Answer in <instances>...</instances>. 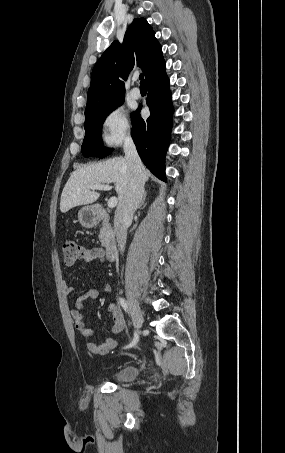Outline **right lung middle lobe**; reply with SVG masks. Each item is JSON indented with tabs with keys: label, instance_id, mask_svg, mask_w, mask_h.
I'll return each instance as SVG.
<instances>
[{
	"label": "right lung middle lobe",
	"instance_id": "right-lung-middle-lobe-1",
	"mask_svg": "<svg viewBox=\"0 0 285 453\" xmlns=\"http://www.w3.org/2000/svg\"><path fill=\"white\" fill-rule=\"evenodd\" d=\"M123 102L124 98H121L102 108L85 114V137L82 144V153L85 157L96 156L102 158L113 151L112 148L104 147L101 137V128L111 111L120 106Z\"/></svg>",
	"mask_w": 285,
	"mask_h": 453
}]
</instances>
